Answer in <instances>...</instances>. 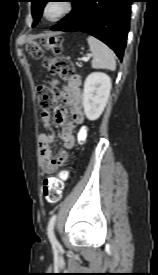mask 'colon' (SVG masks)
Here are the masks:
<instances>
[{
	"label": "colon",
	"instance_id": "5ec220e1",
	"mask_svg": "<svg viewBox=\"0 0 158 275\" xmlns=\"http://www.w3.org/2000/svg\"><path fill=\"white\" fill-rule=\"evenodd\" d=\"M26 51L35 59L43 57L45 51L59 54L62 51L61 39L57 36H45L27 43ZM44 67L54 75L68 76L73 71L72 62L63 56L45 58ZM39 92V104L43 111H48L54 104L60 91L54 87L41 86ZM68 179V173L61 172L57 176L44 178L41 186L43 197L50 203H56L60 200L65 183Z\"/></svg>",
	"mask_w": 158,
	"mask_h": 275
}]
</instances>
